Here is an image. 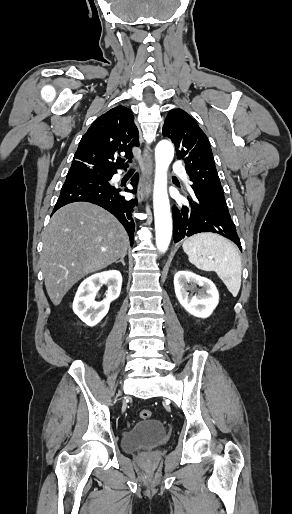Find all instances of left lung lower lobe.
I'll return each mask as SVG.
<instances>
[{
  "mask_svg": "<svg viewBox=\"0 0 292 514\" xmlns=\"http://www.w3.org/2000/svg\"><path fill=\"white\" fill-rule=\"evenodd\" d=\"M187 199L186 205L173 206L172 209L175 243L185 236L213 232L232 240L242 250L225 198L203 197L192 193Z\"/></svg>",
  "mask_w": 292,
  "mask_h": 514,
  "instance_id": "obj_1",
  "label": "left lung lower lobe"
}]
</instances>
